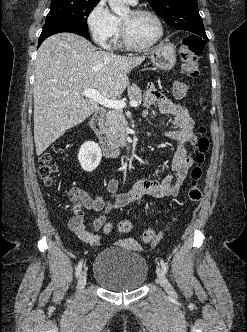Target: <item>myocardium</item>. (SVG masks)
I'll list each match as a JSON object with an SVG mask.
<instances>
[{"label": "myocardium", "instance_id": "1", "mask_svg": "<svg viewBox=\"0 0 247 332\" xmlns=\"http://www.w3.org/2000/svg\"><path fill=\"white\" fill-rule=\"evenodd\" d=\"M131 12L134 15L146 14V15H150L151 17H153L156 20L157 24H158L159 34L152 42H150L148 44H143V45L136 44L135 42H133V40L131 39V37L129 35V31H128V27H127L126 23L121 19V28H120V30H121V38H122L123 43L125 44L126 47H128L132 50H136V51H144V50H148V49L154 47L164 37L165 28H164V24H163L162 19L160 18V16L156 12H154L150 9L133 8L131 10Z\"/></svg>", "mask_w": 247, "mask_h": 332}]
</instances>
